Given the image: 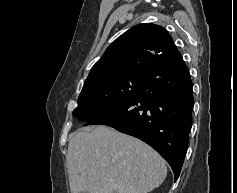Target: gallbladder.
<instances>
[{
	"label": "gallbladder",
	"mask_w": 237,
	"mask_h": 193,
	"mask_svg": "<svg viewBox=\"0 0 237 193\" xmlns=\"http://www.w3.org/2000/svg\"><path fill=\"white\" fill-rule=\"evenodd\" d=\"M80 193H89V192H87V191H82V192H80ZM114 193H117V192H114Z\"/></svg>",
	"instance_id": "1"
}]
</instances>
